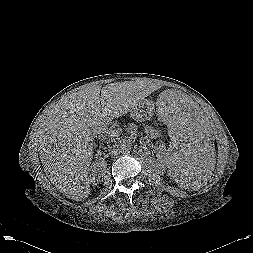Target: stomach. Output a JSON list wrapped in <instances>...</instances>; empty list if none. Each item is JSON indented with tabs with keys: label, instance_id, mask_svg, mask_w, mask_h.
<instances>
[{
	"label": "stomach",
	"instance_id": "1",
	"mask_svg": "<svg viewBox=\"0 0 253 253\" xmlns=\"http://www.w3.org/2000/svg\"><path fill=\"white\" fill-rule=\"evenodd\" d=\"M155 113L154 106L150 101H142L131 110V117L136 121L150 120Z\"/></svg>",
	"mask_w": 253,
	"mask_h": 253
}]
</instances>
